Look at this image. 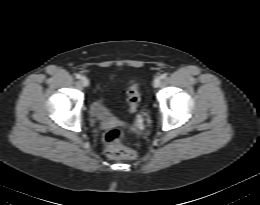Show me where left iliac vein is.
Listing matches in <instances>:
<instances>
[{
	"label": "left iliac vein",
	"mask_w": 260,
	"mask_h": 205,
	"mask_svg": "<svg viewBox=\"0 0 260 205\" xmlns=\"http://www.w3.org/2000/svg\"><path fill=\"white\" fill-rule=\"evenodd\" d=\"M160 85H161V79H160V77H156V78L154 79V81H153V86H154L155 88H158Z\"/></svg>",
	"instance_id": "left-iliac-vein-1"
}]
</instances>
